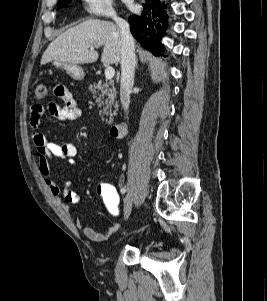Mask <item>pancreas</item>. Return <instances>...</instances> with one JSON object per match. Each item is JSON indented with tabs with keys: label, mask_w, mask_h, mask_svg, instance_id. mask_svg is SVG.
<instances>
[{
	"label": "pancreas",
	"mask_w": 267,
	"mask_h": 301,
	"mask_svg": "<svg viewBox=\"0 0 267 301\" xmlns=\"http://www.w3.org/2000/svg\"><path fill=\"white\" fill-rule=\"evenodd\" d=\"M89 90L93 94V98L95 99L96 103H98V106L101 107L104 105V107L100 110L102 121L106 124H110L112 122V114L109 113V110H111L112 106H114L115 109H118V103L115 100L117 91L114 86V82L106 81L105 83H102V81H99L98 83L90 85ZM104 115H110V118L105 119Z\"/></svg>",
	"instance_id": "cf45deb5"
}]
</instances>
